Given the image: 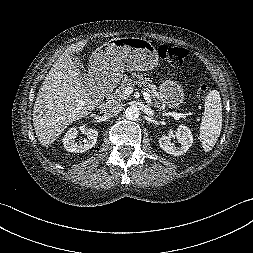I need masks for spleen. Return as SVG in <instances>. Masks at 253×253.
<instances>
[{"label":"spleen","mask_w":253,"mask_h":253,"mask_svg":"<svg viewBox=\"0 0 253 253\" xmlns=\"http://www.w3.org/2000/svg\"><path fill=\"white\" fill-rule=\"evenodd\" d=\"M222 129V103L217 90L209 92L202 116L199 138L205 152L215 146Z\"/></svg>","instance_id":"1"}]
</instances>
